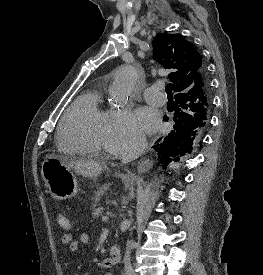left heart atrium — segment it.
Returning a JSON list of instances; mask_svg holds the SVG:
<instances>
[{"instance_id":"left-heart-atrium-1","label":"left heart atrium","mask_w":263,"mask_h":275,"mask_svg":"<svg viewBox=\"0 0 263 275\" xmlns=\"http://www.w3.org/2000/svg\"><path fill=\"white\" fill-rule=\"evenodd\" d=\"M136 117L138 128L147 133H154L160 127V117L158 113L150 107L139 109Z\"/></svg>"}]
</instances>
